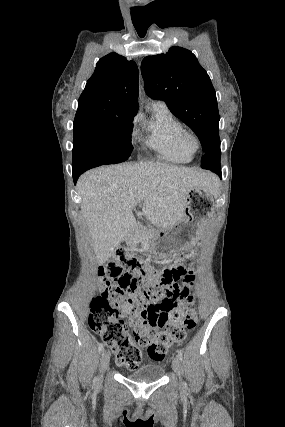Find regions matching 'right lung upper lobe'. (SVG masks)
I'll list each match as a JSON object with an SVG mask.
<instances>
[{
  "label": "right lung upper lobe",
  "mask_w": 285,
  "mask_h": 427,
  "mask_svg": "<svg viewBox=\"0 0 285 427\" xmlns=\"http://www.w3.org/2000/svg\"><path fill=\"white\" fill-rule=\"evenodd\" d=\"M138 78L134 61L117 53L102 57L78 100L74 123L133 118L138 111Z\"/></svg>",
  "instance_id": "1"
}]
</instances>
